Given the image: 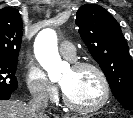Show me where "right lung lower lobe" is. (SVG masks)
Segmentation results:
<instances>
[{
  "mask_svg": "<svg viewBox=\"0 0 133 118\" xmlns=\"http://www.w3.org/2000/svg\"><path fill=\"white\" fill-rule=\"evenodd\" d=\"M11 94L8 95H0L1 100H8L10 98Z\"/></svg>",
  "mask_w": 133,
  "mask_h": 118,
  "instance_id": "98d812e1",
  "label": "right lung lower lobe"
}]
</instances>
